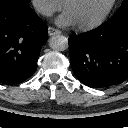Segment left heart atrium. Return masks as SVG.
Wrapping results in <instances>:
<instances>
[{"label": "left heart atrium", "instance_id": "obj_1", "mask_svg": "<svg viewBox=\"0 0 128 128\" xmlns=\"http://www.w3.org/2000/svg\"><path fill=\"white\" fill-rule=\"evenodd\" d=\"M56 23L62 27L75 25L74 20L72 19L70 14L66 11L57 18Z\"/></svg>", "mask_w": 128, "mask_h": 128}]
</instances>
